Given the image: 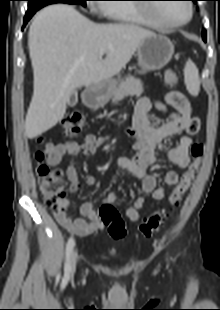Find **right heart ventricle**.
Instances as JSON below:
<instances>
[{
	"mask_svg": "<svg viewBox=\"0 0 220 310\" xmlns=\"http://www.w3.org/2000/svg\"><path fill=\"white\" fill-rule=\"evenodd\" d=\"M122 1V0H116ZM101 11L115 21L148 27H162L154 18L147 15L141 8L135 6L109 4L101 7Z\"/></svg>",
	"mask_w": 220,
	"mask_h": 310,
	"instance_id": "obj_1",
	"label": "right heart ventricle"
}]
</instances>
